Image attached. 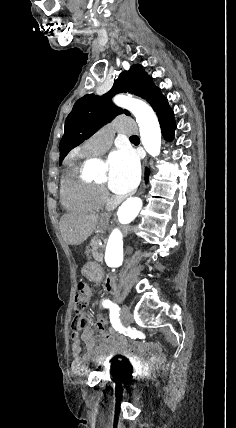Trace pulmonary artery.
<instances>
[{
    "instance_id": "pulmonary-artery-1",
    "label": "pulmonary artery",
    "mask_w": 236,
    "mask_h": 428,
    "mask_svg": "<svg viewBox=\"0 0 236 428\" xmlns=\"http://www.w3.org/2000/svg\"><path fill=\"white\" fill-rule=\"evenodd\" d=\"M83 147H84V150L88 156L94 157V156L99 155L108 146L104 145V144L95 145L92 142H88Z\"/></svg>"
}]
</instances>
